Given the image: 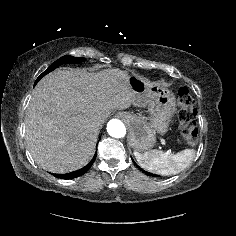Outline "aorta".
<instances>
[{
	"label": "aorta",
	"instance_id": "1",
	"mask_svg": "<svg viewBox=\"0 0 236 236\" xmlns=\"http://www.w3.org/2000/svg\"><path fill=\"white\" fill-rule=\"evenodd\" d=\"M107 132L114 138H122L126 134V127L122 121L111 119L107 124Z\"/></svg>",
	"mask_w": 236,
	"mask_h": 236
}]
</instances>
